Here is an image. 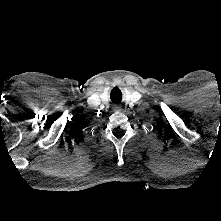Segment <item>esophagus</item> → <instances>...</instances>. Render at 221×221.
Wrapping results in <instances>:
<instances>
[{"label":"esophagus","instance_id":"1","mask_svg":"<svg viewBox=\"0 0 221 221\" xmlns=\"http://www.w3.org/2000/svg\"><path fill=\"white\" fill-rule=\"evenodd\" d=\"M114 109L118 110V111L121 110L120 106H118V105L114 106Z\"/></svg>","mask_w":221,"mask_h":221}]
</instances>
